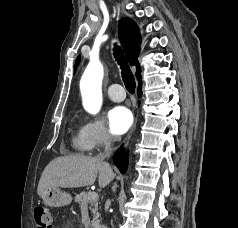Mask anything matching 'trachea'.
Returning a JSON list of instances; mask_svg holds the SVG:
<instances>
[{"label":"trachea","instance_id":"1","mask_svg":"<svg viewBox=\"0 0 238 228\" xmlns=\"http://www.w3.org/2000/svg\"><path fill=\"white\" fill-rule=\"evenodd\" d=\"M113 50H114V57H115L116 61L118 62V64L120 65V68L122 70V72H121L122 79L125 84V87L130 93H134L135 86H136L135 79H134V76H133V74L130 70V67L126 61L124 53L119 46H115Z\"/></svg>","mask_w":238,"mask_h":228}]
</instances>
